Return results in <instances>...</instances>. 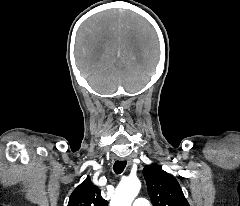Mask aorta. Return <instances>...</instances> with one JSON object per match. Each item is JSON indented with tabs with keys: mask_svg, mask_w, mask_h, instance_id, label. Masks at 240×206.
<instances>
[{
	"mask_svg": "<svg viewBox=\"0 0 240 206\" xmlns=\"http://www.w3.org/2000/svg\"><path fill=\"white\" fill-rule=\"evenodd\" d=\"M141 189V182L137 178H126L116 188L110 206H131Z\"/></svg>",
	"mask_w": 240,
	"mask_h": 206,
	"instance_id": "aorta-1",
	"label": "aorta"
}]
</instances>
